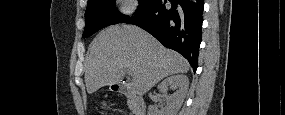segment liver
Segmentation results:
<instances>
[{
  "mask_svg": "<svg viewBox=\"0 0 285 115\" xmlns=\"http://www.w3.org/2000/svg\"><path fill=\"white\" fill-rule=\"evenodd\" d=\"M125 69L131 71L132 90L144 95L163 78L187 73L189 63L136 26H110L96 36L90 49L85 71L87 92L120 83Z\"/></svg>",
  "mask_w": 285,
  "mask_h": 115,
  "instance_id": "obj_1",
  "label": "liver"
}]
</instances>
